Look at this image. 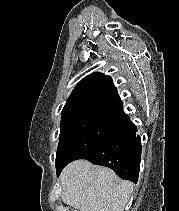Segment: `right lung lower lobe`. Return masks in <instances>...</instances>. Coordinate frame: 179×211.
I'll return each instance as SVG.
<instances>
[{"instance_id":"98d812e1","label":"right lung lower lobe","mask_w":179,"mask_h":211,"mask_svg":"<svg viewBox=\"0 0 179 211\" xmlns=\"http://www.w3.org/2000/svg\"><path fill=\"white\" fill-rule=\"evenodd\" d=\"M136 132L135 124L122 112V117L113 131L77 159H86L95 165L109 167L120 178L136 183L141 161V141ZM65 166L57 168V176Z\"/></svg>"}]
</instances>
